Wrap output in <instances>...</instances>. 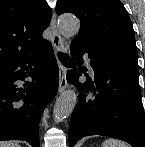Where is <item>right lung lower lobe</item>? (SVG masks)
<instances>
[{
	"label": "right lung lower lobe",
	"mask_w": 145,
	"mask_h": 147,
	"mask_svg": "<svg viewBox=\"0 0 145 147\" xmlns=\"http://www.w3.org/2000/svg\"><path fill=\"white\" fill-rule=\"evenodd\" d=\"M31 77L25 88L17 80ZM59 69L50 42L16 61L0 66V141L23 140L39 147V120L54 98Z\"/></svg>",
	"instance_id": "obj_1"
}]
</instances>
